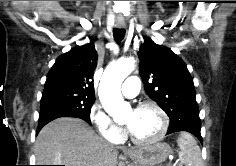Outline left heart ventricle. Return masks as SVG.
<instances>
[{"mask_svg":"<svg viewBox=\"0 0 236 166\" xmlns=\"http://www.w3.org/2000/svg\"><path fill=\"white\" fill-rule=\"evenodd\" d=\"M130 132L139 139H150L158 134L161 128V118L152 108L140 111H130L124 119Z\"/></svg>","mask_w":236,"mask_h":166,"instance_id":"b2bd125f","label":"left heart ventricle"}]
</instances>
